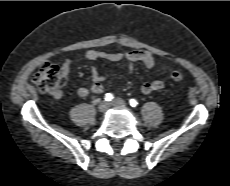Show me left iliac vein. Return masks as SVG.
<instances>
[{
	"label": "left iliac vein",
	"instance_id": "obj_1",
	"mask_svg": "<svg viewBox=\"0 0 230 186\" xmlns=\"http://www.w3.org/2000/svg\"><path fill=\"white\" fill-rule=\"evenodd\" d=\"M111 105L115 106V107L124 108L126 106V103L124 100H122L120 98H116L111 102Z\"/></svg>",
	"mask_w": 230,
	"mask_h": 186
}]
</instances>
